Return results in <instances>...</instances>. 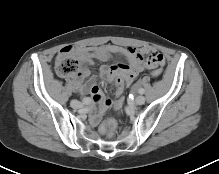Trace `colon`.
<instances>
[{
	"label": "colon",
	"instance_id": "colon-1",
	"mask_svg": "<svg viewBox=\"0 0 219 174\" xmlns=\"http://www.w3.org/2000/svg\"><path fill=\"white\" fill-rule=\"evenodd\" d=\"M55 68L57 73L62 77H71L77 74L79 64L68 49H63L56 58ZM163 70L161 68L155 69L151 72L154 78H160ZM117 129V123L114 119H107L100 125V132L108 137H113Z\"/></svg>",
	"mask_w": 219,
	"mask_h": 174
}]
</instances>
